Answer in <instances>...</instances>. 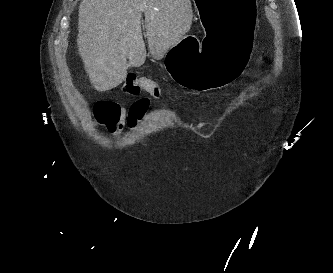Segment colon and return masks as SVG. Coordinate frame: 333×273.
<instances>
[{"mask_svg":"<svg viewBox=\"0 0 333 273\" xmlns=\"http://www.w3.org/2000/svg\"><path fill=\"white\" fill-rule=\"evenodd\" d=\"M123 91L130 95H137L145 91L153 97H159L162 93L161 86L154 80L128 74L123 83ZM120 117V106L112 101H99L95 105V119L100 125L114 129Z\"/></svg>","mask_w":333,"mask_h":273,"instance_id":"obj_1","label":"colon"}]
</instances>
